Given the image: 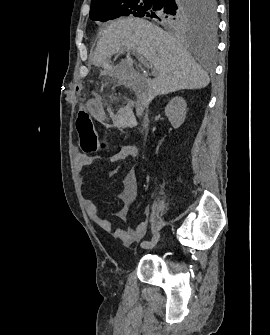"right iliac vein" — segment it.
<instances>
[{
	"mask_svg": "<svg viewBox=\"0 0 270 335\" xmlns=\"http://www.w3.org/2000/svg\"><path fill=\"white\" fill-rule=\"evenodd\" d=\"M159 239H160V233L157 232L152 237V239L150 241V246L148 248H144V249H152L157 244V242L159 241Z\"/></svg>",
	"mask_w": 270,
	"mask_h": 335,
	"instance_id": "obj_1",
	"label": "right iliac vein"
}]
</instances>
